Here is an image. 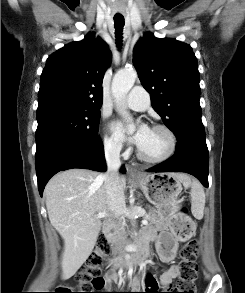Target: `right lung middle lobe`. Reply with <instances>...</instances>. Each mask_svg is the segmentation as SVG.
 <instances>
[{"mask_svg":"<svg viewBox=\"0 0 245 293\" xmlns=\"http://www.w3.org/2000/svg\"><path fill=\"white\" fill-rule=\"evenodd\" d=\"M36 114V162L52 149L65 144H93L100 141L99 109L50 106L38 109Z\"/></svg>","mask_w":245,"mask_h":293,"instance_id":"obj_1","label":"right lung middle lobe"}]
</instances>
